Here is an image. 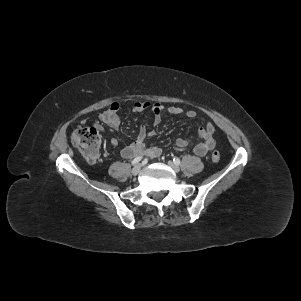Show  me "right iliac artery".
I'll use <instances>...</instances> for the list:
<instances>
[{
    "mask_svg": "<svg viewBox=\"0 0 301 301\" xmlns=\"http://www.w3.org/2000/svg\"><path fill=\"white\" fill-rule=\"evenodd\" d=\"M142 160V156H138L135 159H133V161L131 162L132 165H135L137 163H139Z\"/></svg>",
    "mask_w": 301,
    "mask_h": 301,
    "instance_id": "right-iliac-artery-1",
    "label": "right iliac artery"
}]
</instances>
